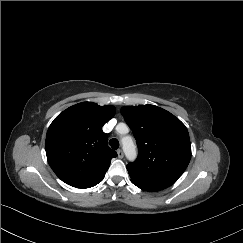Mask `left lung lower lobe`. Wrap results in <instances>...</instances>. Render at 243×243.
<instances>
[{
	"mask_svg": "<svg viewBox=\"0 0 243 243\" xmlns=\"http://www.w3.org/2000/svg\"><path fill=\"white\" fill-rule=\"evenodd\" d=\"M178 178L176 176H166L147 181L131 180V182L142 190L155 192L171 186Z\"/></svg>",
	"mask_w": 243,
	"mask_h": 243,
	"instance_id": "left-lung-lower-lobe-1",
	"label": "left lung lower lobe"
}]
</instances>
